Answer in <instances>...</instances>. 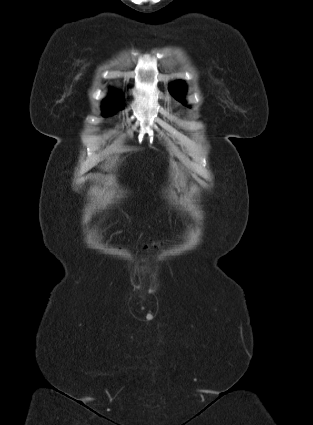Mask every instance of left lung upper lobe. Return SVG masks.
<instances>
[{
	"mask_svg": "<svg viewBox=\"0 0 313 425\" xmlns=\"http://www.w3.org/2000/svg\"><path fill=\"white\" fill-rule=\"evenodd\" d=\"M169 91L179 100L186 93V87L182 81H177L170 86Z\"/></svg>",
	"mask_w": 313,
	"mask_h": 425,
	"instance_id": "obj_1",
	"label": "left lung upper lobe"
}]
</instances>
